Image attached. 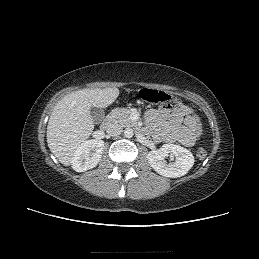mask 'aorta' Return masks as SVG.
Listing matches in <instances>:
<instances>
[{
  "mask_svg": "<svg viewBox=\"0 0 259 259\" xmlns=\"http://www.w3.org/2000/svg\"><path fill=\"white\" fill-rule=\"evenodd\" d=\"M134 135V132H133V129L131 128H126L125 131H124V136L126 138H132Z\"/></svg>",
  "mask_w": 259,
  "mask_h": 259,
  "instance_id": "obj_1",
  "label": "aorta"
}]
</instances>
